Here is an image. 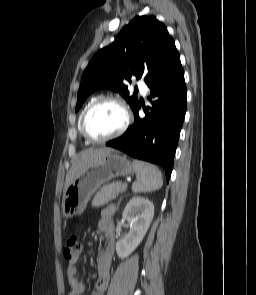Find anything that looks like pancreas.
<instances>
[{"label":"pancreas","instance_id":"pancreas-1","mask_svg":"<svg viewBox=\"0 0 256 295\" xmlns=\"http://www.w3.org/2000/svg\"><path fill=\"white\" fill-rule=\"evenodd\" d=\"M127 184L121 181L103 186L92 200L93 207H100L115 199L120 193L125 192Z\"/></svg>","mask_w":256,"mask_h":295}]
</instances>
